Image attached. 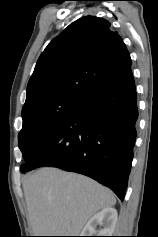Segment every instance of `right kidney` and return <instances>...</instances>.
<instances>
[{"label":"right kidney","mask_w":158,"mask_h":237,"mask_svg":"<svg viewBox=\"0 0 158 237\" xmlns=\"http://www.w3.org/2000/svg\"><path fill=\"white\" fill-rule=\"evenodd\" d=\"M117 222V210L109 207L95 214L84 226L80 236H112ZM101 226L100 230H96ZM98 233V234H96Z\"/></svg>","instance_id":"right-kidney-1"}]
</instances>
